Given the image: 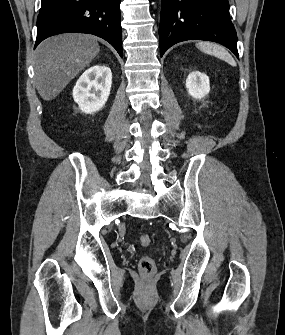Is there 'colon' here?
Here are the masks:
<instances>
[{"mask_svg": "<svg viewBox=\"0 0 285 335\" xmlns=\"http://www.w3.org/2000/svg\"><path fill=\"white\" fill-rule=\"evenodd\" d=\"M151 242L148 234H141L139 236V243L142 246H148ZM139 270L143 276H151L156 271V264L150 256H144L139 261Z\"/></svg>", "mask_w": 285, "mask_h": 335, "instance_id": "1", "label": "colon"}]
</instances>
